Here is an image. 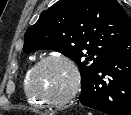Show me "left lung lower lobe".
I'll return each instance as SVG.
<instances>
[{
  "mask_svg": "<svg viewBox=\"0 0 131 115\" xmlns=\"http://www.w3.org/2000/svg\"><path fill=\"white\" fill-rule=\"evenodd\" d=\"M78 103L108 115H131V31L107 55Z\"/></svg>",
  "mask_w": 131,
  "mask_h": 115,
  "instance_id": "1",
  "label": "left lung lower lobe"
}]
</instances>
